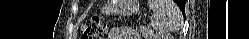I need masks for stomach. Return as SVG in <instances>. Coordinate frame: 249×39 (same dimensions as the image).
<instances>
[{
    "label": "stomach",
    "mask_w": 249,
    "mask_h": 39,
    "mask_svg": "<svg viewBox=\"0 0 249 39\" xmlns=\"http://www.w3.org/2000/svg\"><path fill=\"white\" fill-rule=\"evenodd\" d=\"M117 12L123 15H132L138 12L139 7L134 0H120L118 1Z\"/></svg>",
    "instance_id": "1"
}]
</instances>
